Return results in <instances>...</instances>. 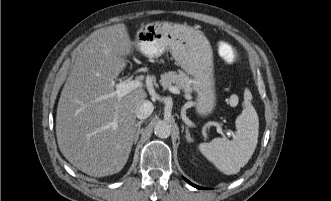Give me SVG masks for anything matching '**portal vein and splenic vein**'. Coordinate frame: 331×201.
Wrapping results in <instances>:
<instances>
[{"mask_svg":"<svg viewBox=\"0 0 331 201\" xmlns=\"http://www.w3.org/2000/svg\"><path fill=\"white\" fill-rule=\"evenodd\" d=\"M114 87L116 88L115 92L113 94H111L112 96H116L118 99H121L122 97H124L125 95L129 94L131 91H133L134 89L140 88L142 87V82L138 79L135 80H123L120 81L119 83H113ZM170 91L172 93H179V89L177 87H170ZM113 127H116V122L112 123ZM217 126V132L220 134H223V129L221 128L220 125H216ZM230 134V133H229Z\"/></svg>","mask_w":331,"mask_h":201,"instance_id":"obj_1","label":"portal vein and splenic vein"}]
</instances>
